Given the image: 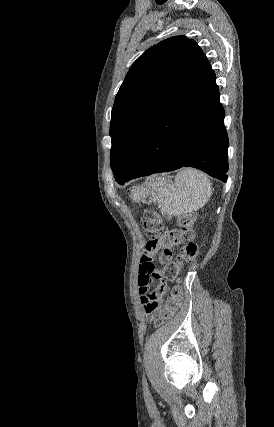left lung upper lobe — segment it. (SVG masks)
Here are the masks:
<instances>
[{"mask_svg": "<svg viewBox=\"0 0 274 427\" xmlns=\"http://www.w3.org/2000/svg\"><path fill=\"white\" fill-rule=\"evenodd\" d=\"M206 62L198 44L185 36L152 46L134 62L111 113L114 176L128 173L154 123Z\"/></svg>", "mask_w": 274, "mask_h": 427, "instance_id": "5c2ea615", "label": "left lung upper lobe"}]
</instances>
